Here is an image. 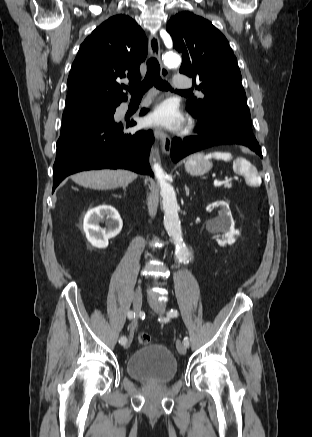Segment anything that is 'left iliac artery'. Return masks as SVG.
I'll list each match as a JSON object with an SVG mask.
<instances>
[{
	"label": "left iliac artery",
	"mask_w": 312,
	"mask_h": 437,
	"mask_svg": "<svg viewBox=\"0 0 312 437\" xmlns=\"http://www.w3.org/2000/svg\"><path fill=\"white\" fill-rule=\"evenodd\" d=\"M167 315H168L169 317H172V318L177 317V316H178V311L175 310V309H171V310L168 312ZM183 342H184V345H185L186 347L189 346V338H188V337H185L184 340H183Z\"/></svg>",
	"instance_id": "44dca946"
}]
</instances>
